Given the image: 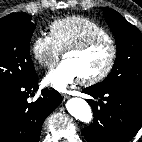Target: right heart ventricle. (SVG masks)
I'll list each match as a JSON object with an SVG mask.
<instances>
[{
  "label": "right heart ventricle",
  "mask_w": 142,
  "mask_h": 142,
  "mask_svg": "<svg viewBox=\"0 0 142 142\" xmlns=\"http://www.w3.org/2000/svg\"><path fill=\"white\" fill-rule=\"evenodd\" d=\"M94 35L110 37L103 26L83 16H69L57 19L49 26V36L61 52L67 47Z\"/></svg>",
  "instance_id": "e07e8e85"
}]
</instances>
